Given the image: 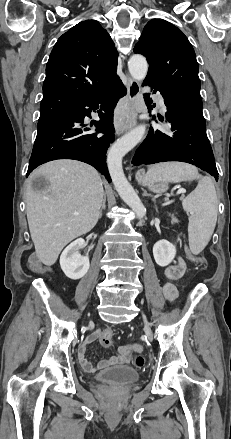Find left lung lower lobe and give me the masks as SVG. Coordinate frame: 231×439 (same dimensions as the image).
I'll return each mask as SVG.
<instances>
[{"label": "left lung lower lobe", "instance_id": "obj_1", "mask_svg": "<svg viewBox=\"0 0 231 439\" xmlns=\"http://www.w3.org/2000/svg\"><path fill=\"white\" fill-rule=\"evenodd\" d=\"M144 84L149 85L153 93L159 91L163 96L167 107L166 119L170 125V132L164 133L150 128L148 136L136 150L132 164L138 166L181 161L201 168L218 180L214 155L206 135L204 117L167 94L156 82L146 78ZM144 99L149 108L152 103L150 93L144 94Z\"/></svg>", "mask_w": 231, "mask_h": 439}]
</instances>
